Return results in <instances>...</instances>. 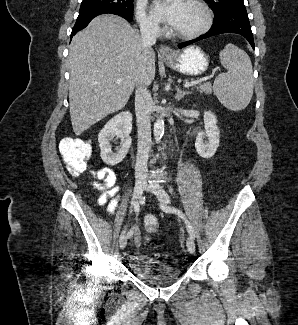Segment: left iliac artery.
Here are the masks:
<instances>
[{
	"instance_id": "obj_1",
	"label": "left iliac artery",
	"mask_w": 298,
	"mask_h": 325,
	"mask_svg": "<svg viewBox=\"0 0 298 325\" xmlns=\"http://www.w3.org/2000/svg\"><path fill=\"white\" fill-rule=\"evenodd\" d=\"M161 209L165 212L174 213V214L178 215L179 217H181L184 220L187 230H188L189 234L191 235V237L192 238L195 237L194 230H193L190 222L187 220L186 216L184 215V213L181 210H179L175 207H172V206H168V205H161Z\"/></svg>"
}]
</instances>
